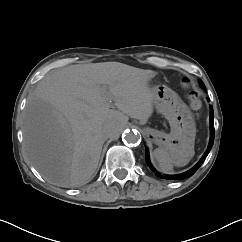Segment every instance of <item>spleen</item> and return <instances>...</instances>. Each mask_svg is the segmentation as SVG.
<instances>
[{
	"label": "spleen",
	"instance_id": "spleen-1",
	"mask_svg": "<svg viewBox=\"0 0 242 242\" xmlns=\"http://www.w3.org/2000/svg\"><path fill=\"white\" fill-rule=\"evenodd\" d=\"M194 154V152H193ZM193 156V155H192ZM154 157L157 159L162 172H170L173 166H184L189 160H182L181 154L175 151H167L162 148L154 150Z\"/></svg>",
	"mask_w": 242,
	"mask_h": 242
}]
</instances>
